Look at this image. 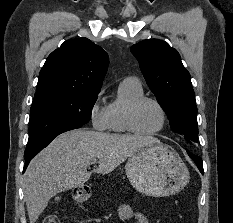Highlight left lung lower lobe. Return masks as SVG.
<instances>
[{
    "label": "left lung lower lobe",
    "instance_id": "1",
    "mask_svg": "<svg viewBox=\"0 0 233 223\" xmlns=\"http://www.w3.org/2000/svg\"><path fill=\"white\" fill-rule=\"evenodd\" d=\"M187 153L191 157V159L195 162V164L197 165V167L200 170V172L202 174H204L202 159L199 156H197V155H195V154H193V153H191L189 151H187Z\"/></svg>",
    "mask_w": 233,
    "mask_h": 223
}]
</instances>
